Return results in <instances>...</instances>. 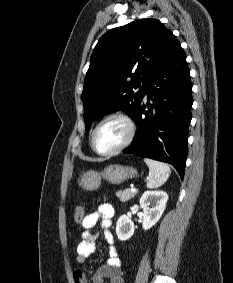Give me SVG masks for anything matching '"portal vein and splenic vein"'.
<instances>
[{"instance_id": "18ae733b", "label": "portal vein and splenic vein", "mask_w": 233, "mask_h": 283, "mask_svg": "<svg viewBox=\"0 0 233 283\" xmlns=\"http://www.w3.org/2000/svg\"><path fill=\"white\" fill-rule=\"evenodd\" d=\"M131 191L132 192H137V190L134 187L131 188Z\"/></svg>"}]
</instances>
